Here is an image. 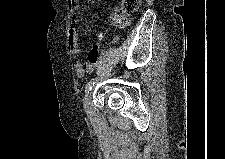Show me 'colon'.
Wrapping results in <instances>:
<instances>
[{
  "mask_svg": "<svg viewBox=\"0 0 225 159\" xmlns=\"http://www.w3.org/2000/svg\"><path fill=\"white\" fill-rule=\"evenodd\" d=\"M72 5L77 4L78 0H70ZM140 0H123L122 8L112 13V21L117 26H124L128 23L129 14L137 10Z\"/></svg>",
  "mask_w": 225,
  "mask_h": 159,
  "instance_id": "obj_1",
  "label": "colon"
}]
</instances>
